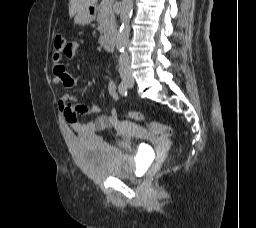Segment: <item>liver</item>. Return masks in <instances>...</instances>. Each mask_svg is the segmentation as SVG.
I'll return each mask as SVG.
<instances>
[{
  "label": "liver",
  "instance_id": "obj_1",
  "mask_svg": "<svg viewBox=\"0 0 256 228\" xmlns=\"http://www.w3.org/2000/svg\"><path fill=\"white\" fill-rule=\"evenodd\" d=\"M97 0H69V15L73 17L79 10L93 6Z\"/></svg>",
  "mask_w": 256,
  "mask_h": 228
}]
</instances>
